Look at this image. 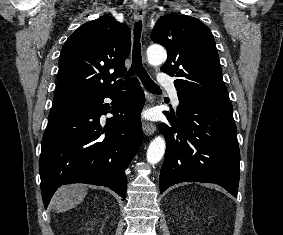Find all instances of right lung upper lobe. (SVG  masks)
Listing matches in <instances>:
<instances>
[{"mask_svg": "<svg viewBox=\"0 0 283 235\" xmlns=\"http://www.w3.org/2000/svg\"><path fill=\"white\" fill-rule=\"evenodd\" d=\"M130 47L129 28L109 15L80 26L61 50L54 104L119 88Z\"/></svg>", "mask_w": 283, "mask_h": 235, "instance_id": "1", "label": "right lung upper lobe"}]
</instances>
